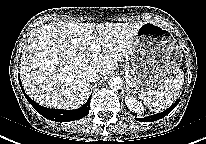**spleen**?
Here are the masks:
<instances>
[{"mask_svg": "<svg viewBox=\"0 0 206 144\" xmlns=\"http://www.w3.org/2000/svg\"><path fill=\"white\" fill-rule=\"evenodd\" d=\"M184 82L183 75L170 78L156 90L145 91L139 94V98L152 111L160 112L171 106L179 95Z\"/></svg>", "mask_w": 206, "mask_h": 144, "instance_id": "obj_1", "label": "spleen"}]
</instances>
